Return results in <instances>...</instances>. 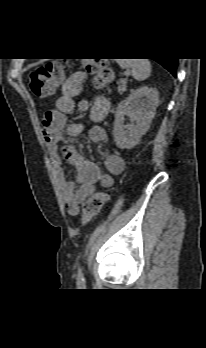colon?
<instances>
[{
	"label": "colon",
	"instance_id": "colon-1",
	"mask_svg": "<svg viewBox=\"0 0 206 348\" xmlns=\"http://www.w3.org/2000/svg\"><path fill=\"white\" fill-rule=\"evenodd\" d=\"M84 65L86 71L93 76L96 87H103L112 81L114 75L105 60H86ZM63 75L64 66L59 61L50 62L34 69L30 77L32 92L38 97L53 94ZM108 199V194L103 191L91 195L83 205L81 223L88 224L94 217L98 216Z\"/></svg>",
	"mask_w": 206,
	"mask_h": 348
}]
</instances>
